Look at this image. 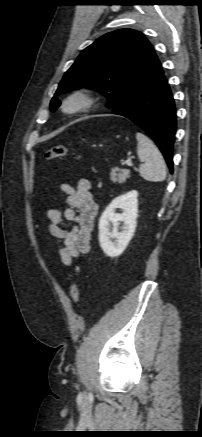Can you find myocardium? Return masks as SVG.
<instances>
[{
  "label": "myocardium",
  "mask_w": 202,
  "mask_h": 437,
  "mask_svg": "<svg viewBox=\"0 0 202 437\" xmlns=\"http://www.w3.org/2000/svg\"><path fill=\"white\" fill-rule=\"evenodd\" d=\"M95 103V97L88 91L77 89L69 93L61 103V110L64 114L73 116L81 113Z\"/></svg>",
  "instance_id": "1"
}]
</instances>
